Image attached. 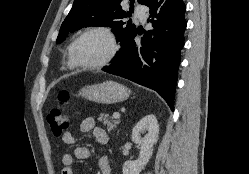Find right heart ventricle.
Instances as JSON below:
<instances>
[{
	"mask_svg": "<svg viewBox=\"0 0 249 174\" xmlns=\"http://www.w3.org/2000/svg\"><path fill=\"white\" fill-rule=\"evenodd\" d=\"M73 44V43H72ZM72 44L69 46L68 48V66L72 69L76 68L77 65L75 64L73 57H72V53H71V48H72Z\"/></svg>",
	"mask_w": 249,
	"mask_h": 174,
	"instance_id": "e07e8e85",
	"label": "right heart ventricle"
}]
</instances>
